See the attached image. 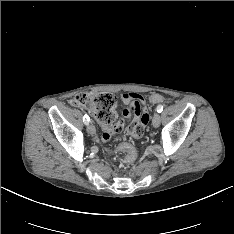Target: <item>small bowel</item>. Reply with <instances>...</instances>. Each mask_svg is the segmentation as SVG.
<instances>
[{
  "mask_svg": "<svg viewBox=\"0 0 234 234\" xmlns=\"http://www.w3.org/2000/svg\"><path fill=\"white\" fill-rule=\"evenodd\" d=\"M120 108L123 110L122 116L124 118L129 119L134 117L133 122L125 127V133L127 135H134L136 139L145 136L148 131L147 122L149 114L147 113V104L144 98L134 92L125 93ZM101 126L103 130L101 138L107 143L116 131H120L123 128L124 123L121 126V122L116 120L114 125L101 122Z\"/></svg>",
  "mask_w": 234,
  "mask_h": 234,
  "instance_id": "1",
  "label": "small bowel"
}]
</instances>
